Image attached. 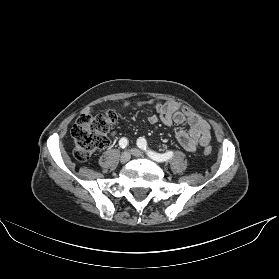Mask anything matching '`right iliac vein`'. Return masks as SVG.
Here are the masks:
<instances>
[{
  "instance_id": "1",
  "label": "right iliac vein",
  "mask_w": 279,
  "mask_h": 279,
  "mask_svg": "<svg viewBox=\"0 0 279 279\" xmlns=\"http://www.w3.org/2000/svg\"><path fill=\"white\" fill-rule=\"evenodd\" d=\"M131 158V153L129 151L123 152V154L120 157L121 163H127Z\"/></svg>"
}]
</instances>
